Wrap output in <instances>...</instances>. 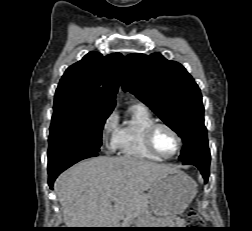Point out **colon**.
Listing matches in <instances>:
<instances>
[{"mask_svg":"<svg viewBox=\"0 0 252 231\" xmlns=\"http://www.w3.org/2000/svg\"><path fill=\"white\" fill-rule=\"evenodd\" d=\"M187 222L191 226H199L202 223V219L194 212H190L187 216Z\"/></svg>","mask_w":252,"mask_h":231,"instance_id":"colon-1","label":"colon"}]
</instances>
